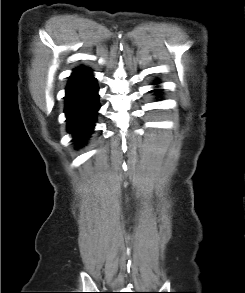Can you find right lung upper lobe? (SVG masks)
<instances>
[{
  "mask_svg": "<svg viewBox=\"0 0 245 293\" xmlns=\"http://www.w3.org/2000/svg\"><path fill=\"white\" fill-rule=\"evenodd\" d=\"M85 69H86V68L79 67L76 71L73 72L72 75H74V74H76V73H78V72H81V71H83V70H85Z\"/></svg>",
  "mask_w": 245,
  "mask_h": 293,
  "instance_id": "obj_1",
  "label": "right lung upper lobe"
}]
</instances>
